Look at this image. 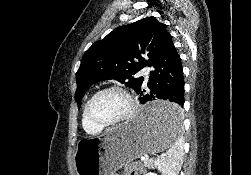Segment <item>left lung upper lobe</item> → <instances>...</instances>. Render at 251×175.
<instances>
[{
  "label": "left lung upper lobe",
  "mask_w": 251,
  "mask_h": 175,
  "mask_svg": "<svg viewBox=\"0 0 251 175\" xmlns=\"http://www.w3.org/2000/svg\"><path fill=\"white\" fill-rule=\"evenodd\" d=\"M169 36L166 25L151 16L120 26L96 41L83 55L76 73L78 107L88 88L101 80L115 79L137 91L144 78L136 73L151 66Z\"/></svg>",
  "instance_id": "5c2ea615"
}]
</instances>
